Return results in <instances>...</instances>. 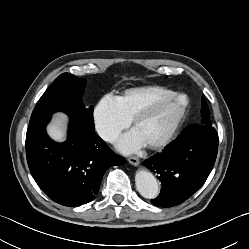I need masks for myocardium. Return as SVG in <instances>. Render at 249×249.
Instances as JSON below:
<instances>
[{"instance_id":"1","label":"myocardium","mask_w":249,"mask_h":249,"mask_svg":"<svg viewBox=\"0 0 249 249\" xmlns=\"http://www.w3.org/2000/svg\"><path fill=\"white\" fill-rule=\"evenodd\" d=\"M174 98H182L184 100V105L182 107L181 113L175 122L173 128L169 132V134L162 139L159 142L149 144L150 148L154 150L162 149L165 146H167L178 134L179 130L181 129L182 125L184 124L188 111H189V106H190V100L186 94L183 93H177V92H172L169 95L163 96L148 105H146L144 108H142L133 118L132 120V126L133 128L136 127L137 124H139L142 120L147 118L158 106L161 104H164Z\"/></svg>"}]
</instances>
